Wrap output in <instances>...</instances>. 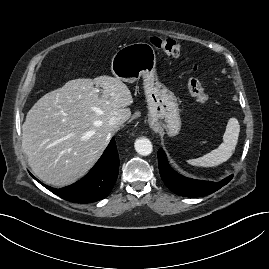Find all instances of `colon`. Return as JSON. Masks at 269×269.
I'll return each instance as SVG.
<instances>
[{
    "label": "colon",
    "instance_id": "colon-1",
    "mask_svg": "<svg viewBox=\"0 0 269 269\" xmlns=\"http://www.w3.org/2000/svg\"><path fill=\"white\" fill-rule=\"evenodd\" d=\"M150 43L155 49L160 50L171 57L177 58L182 55L181 45L173 39L152 37L150 39ZM187 87L189 93L196 99L198 103L205 105L209 102L207 93L195 75L191 74L188 77Z\"/></svg>",
    "mask_w": 269,
    "mask_h": 269
}]
</instances>
